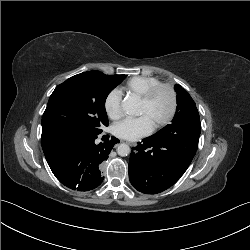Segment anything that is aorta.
I'll return each instance as SVG.
<instances>
[{
	"label": "aorta",
	"mask_w": 250,
	"mask_h": 250,
	"mask_svg": "<svg viewBox=\"0 0 250 250\" xmlns=\"http://www.w3.org/2000/svg\"><path fill=\"white\" fill-rule=\"evenodd\" d=\"M122 110L128 115H138L139 114V107L138 102L133 98H127L122 102ZM117 153L120 156H127L130 153V147L125 144L121 143L117 147Z\"/></svg>",
	"instance_id": "obj_1"
}]
</instances>
